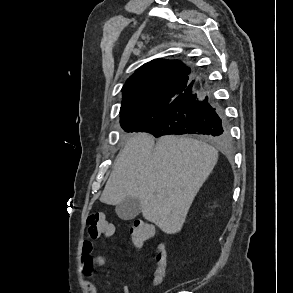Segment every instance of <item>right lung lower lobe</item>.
<instances>
[{"instance_id": "obj_1", "label": "right lung lower lobe", "mask_w": 293, "mask_h": 293, "mask_svg": "<svg viewBox=\"0 0 293 293\" xmlns=\"http://www.w3.org/2000/svg\"><path fill=\"white\" fill-rule=\"evenodd\" d=\"M142 131L150 132L155 137L189 133L209 135L219 142L229 138L223 112L204 93L196 92L193 82L165 111L136 130Z\"/></svg>"}]
</instances>
